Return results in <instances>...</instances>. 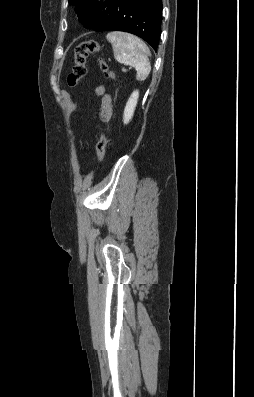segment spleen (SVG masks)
<instances>
[{
    "mask_svg": "<svg viewBox=\"0 0 254 397\" xmlns=\"http://www.w3.org/2000/svg\"><path fill=\"white\" fill-rule=\"evenodd\" d=\"M106 38L112 44L115 59L134 67L137 71L136 79L144 81L151 71V53L147 45L138 37L125 32H110Z\"/></svg>",
    "mask_w": 254,
    "mask_h": 397,
    "instance_id": "obj_1",
    "label": "spleen"
}]
</instances>
